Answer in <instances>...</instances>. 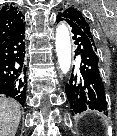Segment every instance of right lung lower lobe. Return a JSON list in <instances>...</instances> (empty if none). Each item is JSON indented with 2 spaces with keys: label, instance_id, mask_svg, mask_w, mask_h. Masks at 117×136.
<instances>
[{
  "label": "right lung lower lobe",
  "instance_id": "obj_1",
  "mask_svg": "<svg viewBox=\"0 0 117 136\" xmlns=\"http://www.w3.org/2000/svg\"><path fill=\"white\" fill-rule=\"evenodd\" d=\"M25 22L0 44V97H12L23 106L26 101Z\"/></svg>",
  "mask_w": 117,
  "mask_h": 136
}]
</instances>
